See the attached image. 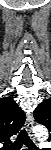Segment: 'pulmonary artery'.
I'll return each mask as SVG.
<instances>
[{"label":"pulmonary artery","mask_w":51,"mask_h":150,"mask_svg":"<svg viewBox=\"0 0 51 150\" xmlns=\"http://www.w3.org/2000/svg\"><path fill=\"white\" fill-rule=\"evenodd\" d=\"M43 146H48V143H44Z\"/></svg>","instance_id":"obj_1"}]
</instances>
